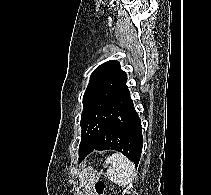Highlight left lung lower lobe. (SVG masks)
I'll list each match as a JSON object with an SVG mask.
<instances>
[{"label": "left lung lower lobe", "instance_id": "1", "mask_svg": "<svg viewBox=\"0 0 211 195\" xmlns=\"http://www.w3.org/2000/svg\"><path fill=\"white\" fill-rule=\"evenodd\" d=\"M141 129V121L131 101L118 116L107 124L99 141L89 153L94 150H116L131 159L137 166L143 145ZM87 155L80 157L79 161Z\"/></svg>", "mask_w": 211, "mask_h": 195}]
</instances>
